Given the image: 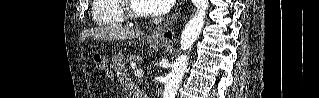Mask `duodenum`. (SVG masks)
<instances>
[{"mask_svg": "<svg viewBox=\"0 0 319 98\" xmlns=\"http://www.w3.org/2000/svg\"><path fill=\"white\" fill-rule=\"evenodd\" d=\"M133 92L136 98H147V96L137 87L133 90Z\"/></svg>", "mask_w": 319, "mask_h": 98, "instance_id": "obj_1", "label": "duodenum"}]
</instances>
